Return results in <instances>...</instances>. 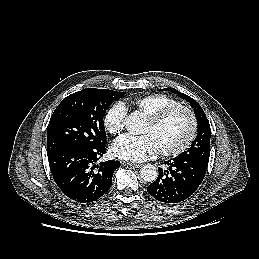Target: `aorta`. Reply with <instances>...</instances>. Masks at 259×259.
I'll return each mask as SVG.
<instances>
[{"instance_id":"762f6f07","label":"aorta","mask_w":259,"mask_h":259,"mask_svg":"<svg viewBox=\"0 0 259 259\" xmlns=\"http://www.w3.org/2000/svg\"><path fill=\"white\" fill-rule=\"evenodd\" d=\"M145 118L142 113L135 111L125 119V127L132 135L143 133ZM140 177L146 182H153L158 177V171L154 165L146 164L140 169Z\"/></svg>"}]
</instances>
